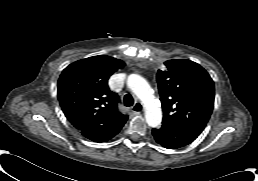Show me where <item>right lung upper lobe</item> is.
Returning a JSON list of instances; mask_svg holds the SVG:
<instances>
[{
	"mask_svg": "<svg viewBox=\"0 0 258 181\" xmlns=\"http://www.w3.org/2000/svg\"><path fill=\"white\" fill-rule=\"evenodd\" d=\"M125 66L110 56H94L67 66L58 80V99L68 120L81 131L126 122L118 111L119 98L108 87L109 77Z\"/></svg>",
	"mask_w": 258,
	"mask_h": 181,
	"instance_id": "cb5924a9",
	"label": "right lung upper lobe"
}]
</instances>
